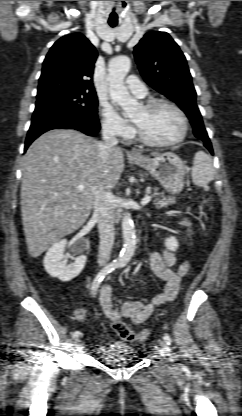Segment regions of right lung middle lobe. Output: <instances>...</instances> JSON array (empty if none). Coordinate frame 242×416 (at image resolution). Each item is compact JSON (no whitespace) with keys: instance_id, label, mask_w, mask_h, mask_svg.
Returning a JSON list of instances; mask_svg holds the SVG:
<instances>
[{"instance_id":"1","label":"right lung middle lobe","mask_w":242,"mask_h":416,"mask_svg":"<svg viewBox=\"0 0 242 416\" xmlns=\"http://www.w3.org/2000/svg\"><path fill=\"white\" fill-rule=\"evenodd\" d=\"M97 105L95 92L63 88L37 96L32 120L45 114H59L93 122L98 120Z\"/></svg>"}]
</instances>
